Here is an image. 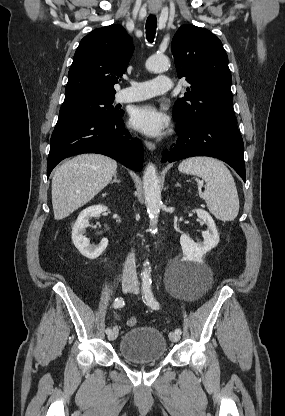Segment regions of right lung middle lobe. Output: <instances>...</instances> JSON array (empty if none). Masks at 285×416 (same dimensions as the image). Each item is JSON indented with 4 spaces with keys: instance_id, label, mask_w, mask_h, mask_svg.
Returning <instances> with one entry per match:
<instances>
[{
    "instance_id": "dd1d6c3e",
    "label": "right lung middle lobe",
    "mask_w": 285,
    "mask_h": 416,
    "mask_svg": "<svg viewBox=\"0 0 285 416\" xmlns=\"http://www.w3.org/2000/svg\"><path fill=\"white\" fill-rule=\"evenodd\" d=\"M113 101L114 97L65 99L58 120L122 117L124 112L118 110L117 106L114 107Z\"/></svg>"
}]
</instances>
